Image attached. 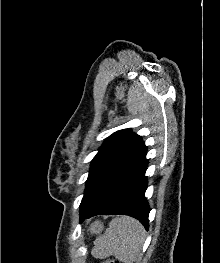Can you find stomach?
<instances>
[{"label":"stomach","instance_id":"1","mask_svg":"<svg viewBox=\"0 0 220 263\" xmlns=\"http://www.w3.org/2000/svg\"><path fill=\"white\" fill-rule=\"evenodd\" d=\"M89 230H90V232H91L92 234L100 233V232L103 230V225H102V223L96 221V222H94V223L91 224Z\"/></svg>","mask_w":220,"mask_h":263}]
</instances>
